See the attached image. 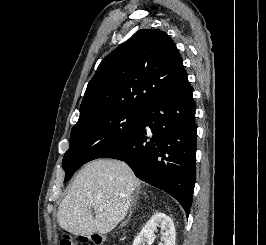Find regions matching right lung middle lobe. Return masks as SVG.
Returning <instances> with one entry per match:
<instances>
[{
	"label": "right lung middle lobe",
	"instance_id": "1",
	"mask_svg": "<svg viewBox=\"0 0 266 245\" xmlns=\"http://www.w3.org/2000/svg\"><path fill=\"white\" fill-rule=\"evenodd\" d=\"M145 110L107 108L79 118L70 136V148L63 158L65 180L83 164L100 158L125 142L137 128Z\"/></svg>",
	"mask_w": 266,
	"mask_h": 245
}]
</instances>
